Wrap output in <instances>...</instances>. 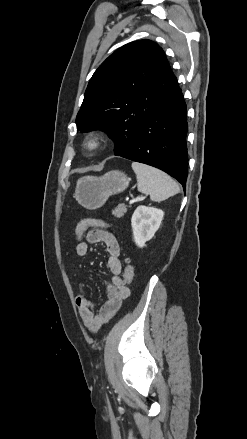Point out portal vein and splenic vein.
Wrapping results in <instances>:
<instances>
[{"instance_id":"obj_1","label":"portal vein and splenic vein","mask_w":247,"mask_h":439,"mask_svg":"<svg viewBox=\"0 0 247 439\" xmlns=\"http://www.w3.org/2000/svg\"><path fill=\"white\" fill-rule=\"evenodd\" d=\"M145 197H137V198H135V199H132V200H130L129 201V204H132V203H134V202H136V201H141V200H143Z\"/></svg>"}]
</instances>
